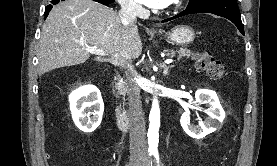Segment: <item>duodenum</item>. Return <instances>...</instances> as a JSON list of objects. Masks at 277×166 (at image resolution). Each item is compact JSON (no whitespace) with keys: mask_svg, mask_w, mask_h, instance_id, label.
<instances>
[{"mask_svg":"<svg viewBox=\"0 0 277 166\" xmlns=\"http://www.w3.org/2000/svg\"><path fill=\"white\" fill-rule=\"evenodd\" d=\"M115 120L120 129H128L131 126V119L127 113L115 107L114 109Z\"/></svg>","mask_w":277,"mask_h":166,"instance_id":"duodenum-1","label":"duodenum"}]
</instances>
